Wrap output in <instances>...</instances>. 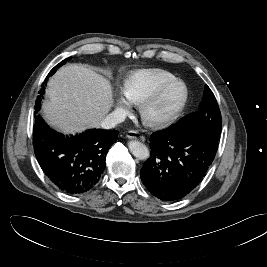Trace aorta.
<instances>
[{"mask_svg": "<svg viewBox=\"0 0 267 267\" xmlns=\"http://www.w3.org/2000/svg\"><path fill=\"white\" fill-rule=\"evenodd\" d=\"M130 152L139 160H145L149 157V150L145 144L132 140L128 143Z\"/></svg>", "mask_w": 267, "mask_h": 267, "instance_id": "762f6f07", "label": "aorta"}]
</instances>
